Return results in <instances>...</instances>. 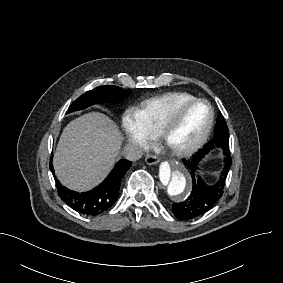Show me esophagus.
Returning a JSON list of instances; mask_svg holds the SVG:
<instances>
[{
    "label": "esophagus",
    "mask_w": 283,
    "mask_h": 283,
    "mask_svg": "<svg viewBox=\"0 0 283 283\" xmlns=\"http://www.w3.org/2000/svg\"><path fill=\"white\" fill-rule=\"evenodd\" d=\"M145 161L149 165H157L159 163V158L155 155H148Z\"/></svg>",
    "instance_id": "obj_1"
}]
</instances>
